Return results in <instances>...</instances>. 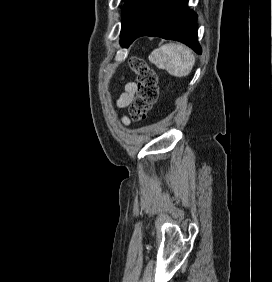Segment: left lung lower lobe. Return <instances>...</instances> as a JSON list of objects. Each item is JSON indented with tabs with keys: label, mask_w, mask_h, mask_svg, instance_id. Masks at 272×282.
<instances>
[{
	"label": "left lung lower lobe",
	"mask_w": 272,
	"mask_h": 282,
	"mask_svg": "<svg viewBox=\"0 0 272 282\" xmlns=\"http://www.w3.org/2000/svg\"><path fill=\"white\" fill-rule=\"evenodd\" d=\"M188 0H126L122 9L120 44L128 47L140 36L180 41L201 54L197 41V15Z\"/></svg>",
	"instance_id": "1"
}]
</instances>
